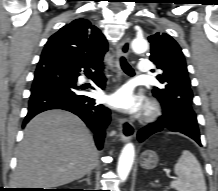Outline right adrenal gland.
Instances as JSON below:
<instances>
[{
	"label": "right adrenal gland",
	"mask_w": 218,
	"mask_h": 191,
	"mask_svg": "<svg viewBox=\"0 0 218 191\" xmlns=\"http://www.w3.org/2000/svg\"><path fill=\"white\" fill-rule=\"evenodd\" d=\"M90 176H91V172H89V173L87 174V178L82 179V180H80L79 182L86 181V182L90 185V184H91V182H90Z\"/></svg>",
	"instance_id": "1"
}]
</instances>
